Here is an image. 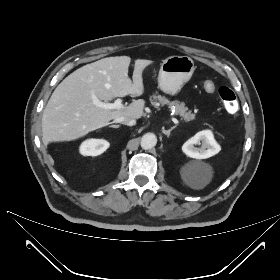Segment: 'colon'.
Segmentation results:
<instances>
[{"label":"colon","instance_id":"colon-1","mask_svg":"<svg viewBox=\"0 0 280 280\" xmlns=\"http://www.w3.org/2000/svg\"><path fill=\"white\" fill-rule=\"evenodd\" d=\"M205 91L212 93L215 90V84L212 81L204 82ZM219 97L221 98L227 112L235 113L238 110V101L232 89L222 86L218 89Z\"/></svg>","mask_w":280,"mask_h":280}]
</instances>
